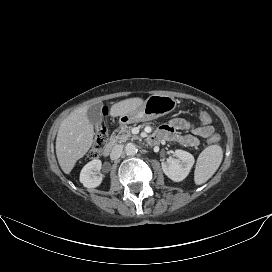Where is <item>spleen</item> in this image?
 I'll list each match as a JSON object with an SVG mask.
<instances>
[{"instance_id": "3e777b00", "label": "spleen", "mask_w": 272, "mask_h": 272, "mask_svg": "<svg viewBox=\"0 0 272 272\" xmlns=\"http://www.w3.org/2000/svg\"><path fill=\"white\" fill-rule=\"evenodd\" d=\"M223 158V151L219 145L205 148L199 155L194 172V181L197 185L205 183L219 168Z\"/></svg>"}]
</instances>
